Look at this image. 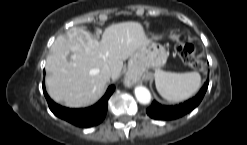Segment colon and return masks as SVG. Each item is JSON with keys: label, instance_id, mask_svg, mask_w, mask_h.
<instances>
[{"label": "colon", "instance_id": "obj_1", "mask_svg": "<svg viewBox=\"0 0 247 145\" xmlns=\"http://www.w3.org/2000/svg\"><path fill=\"white\" fill-rule=\"evenodd\" d=\"M175 50L178 55L181 57L183 62L197 70H204L205 64L203 61L199 60L195 56L194 47L188 43L178 42L175 45Z\"/></svg>", "mask_w": 247, "mask_h": 145}]
</instances>
